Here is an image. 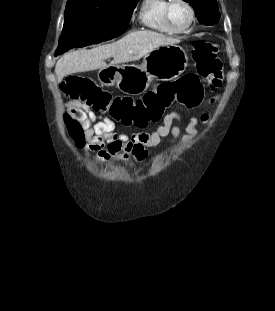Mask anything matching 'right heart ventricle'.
<instances>
[{
	"label": "right heart ventricle",
	"mask_w": 275,
	"mask_h": 311,
	"mask_svg": "<svg viewBox=\"0 0 275 311\" xmlns=\"http://www.w3.org/2000/svg\"><path fill=\"white\" fill-rule=\"evenodd\" d=\"M168 0H143L138 12V20L147 29L162 34H176L166 22L164 10Z\"/></svg>",
	"instance_id": "right-heart-ventricle-1"
}]
</instances>
